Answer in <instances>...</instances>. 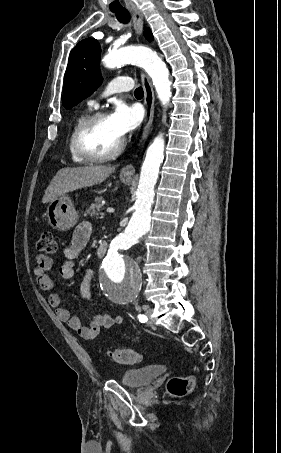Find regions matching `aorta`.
I'll list each match as a JSON object with an SVG mask.
<instances>
[{"label": "aorta", "instance_id": "1", "mask_svg": "<svg viewBox=\"0 0 281 453\" xmlns=\"http://www.w3.org/2000/svg\"><path fill=\"white\" fill-rule=\"evenodd\" d=\"M102 61L107 68L127 63L143 68L152 79L161 104L166 106L169 103L172 94L169 70L156 52L147 47H126L107 54ZM164 147L162 134H159L148 147L141 168L135 211L124 232L112 240L109 251L102 261L100 288L113 303L124 304L133 301L141 288L142 275L139 266L132 258L123 256L118 251L138 243L150 230L154 187L164 158Z\"/></svg>", "mask_w": 281, "mask_h": 453}]
</instances>
